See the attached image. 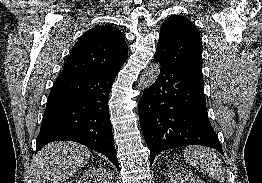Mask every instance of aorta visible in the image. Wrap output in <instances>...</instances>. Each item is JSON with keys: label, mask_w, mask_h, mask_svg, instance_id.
I'll return each instance as SVG.
<instances>
[{"label": "aorta", "mask_w": 262, "mask_h": 183, "mask_svg": "<svg viewBox=\"0 0 262 183\" xmlns=\"http://www.w3.org/2000/svg\"><path fill=\"white\" fill-rule=\"evenodd\" d=\"M160 63H152L140 76L138 87L144 90L150 87L158 78L160 74Z\"/></svg>", "instance_id": "1"}]
</instances>
